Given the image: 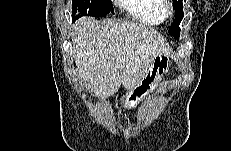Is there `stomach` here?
<instances>
[{
	"instance_id": "stomach-1",
	"label": "stomach",
	"mask_w": 231,
	"mask_h": 151,
	"mask_svg": "<svg viewBox=\"0 0 231 151\" xmlns=\"http://www.w3.org/2000/svg\"><path fill=\"white\" fill-rule=\"evenodd\" d=\"M170 66L171 61L167 54L157 55L139 84L123 96V107L128 109L135 108L147 95L154 92Z\"/></svg>"
}]
</instances>
